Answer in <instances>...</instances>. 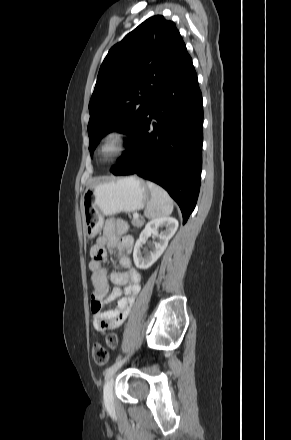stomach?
I'll return each mask as SVG.
<instances>
[{
	"label": "stomach",
	"mask_w": 291,
	"mask_h": 440,
	"mask_svg": "<svg viewBox=\"0 0 291 440\" xmlns=\"http://www.w3.org/2000/svg\"><path fill=\"white\" fill-rule=\"evenodd\" d=\"M150 199L147 184L136 176L114 178L89 186L81 201L86 235L93 237L98 233L104 216L141 210Z\"/></svg>",
	"instance_id": "1"
}]
</instances>
